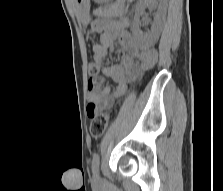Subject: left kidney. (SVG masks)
Returning a JSON list of instances; mask_svg holds the SVG:
<instances>
[{"instance_id":"1","label":"left kidney","mask_w":223,"mask_h":191,"mask_svg":"<svg viewBox=\"0 0 223 191\" xmlns=\"http://www.w3.org/2000/svg\"><path fill=\"white\" fill-rule=\"evenodd\" d=\"M166 2V0H140L138 2L134 17L133 34L142 44L151 45L159 38L165 17ZM147 7L156 10V12L150 30L142 31L139 24V14Z\"/></svg>"}]
</instances>
